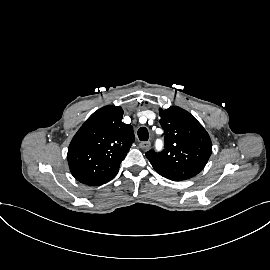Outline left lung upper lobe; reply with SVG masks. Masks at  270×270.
<instances>
[{
	"label": "left lung upper lobe",
	"mask_w": 270,
	"mask_h": 270,
	"mask_svg": "<svg viewBox=\"0 0 270 270\" xmlns=\"http://www.w3.org/2000/svg\"><path fill=\"white\" fill-rule=\"evenodd\" d=\"M159 115L165 131V147L159 153L148 151L146 157L161 176L170 180L196 176L212 153L208 133L195 117L177 106L159 109Z\"/></svg>",
	"instance_id": "obj_1"
}]
</instances>
